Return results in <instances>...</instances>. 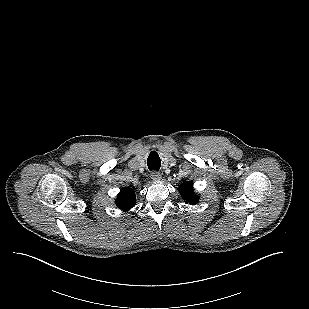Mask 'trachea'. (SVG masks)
Here are the masks:
<instances>
[{"label":"trachea","instance_id":"trachea-1","mask_svg":"<svg viewBox=\"0 0 309 309\" xmlns=\"http://www.w3.org/2000/svg\"><path fill=\"white\" fill-rule=\"evenodd\" d=\"M147 166L150 171L155 170L158 171L161 166L160 158L157 154L151 153L147 159Z\"/></svg>","mask_w":309,"mask_h":309}]
</instances>
